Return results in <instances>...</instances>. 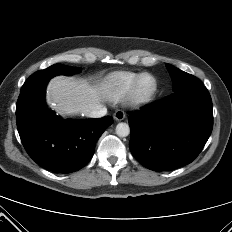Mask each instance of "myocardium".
Masks as SVG:
<instances>
[{
	"label": "myocardium",
	"mask_w": 232,
	"mask_h": 232,
	"mask_svg": "<svg viewBox=\"0 0 232 232\" xmlns=\"http://www.w3.org/2000/svg\"><path fill=\"white\" fill-rule=\"evenodd\" d=\"M145 80L149 81L147 87L143 86ZM157 89L156 79L147 73L141 74L135 81L130 93L129 100L134 105L145 104L151 100Z\"/></svg>",
	"instance_id": "obj_1"
}]
</instances>
